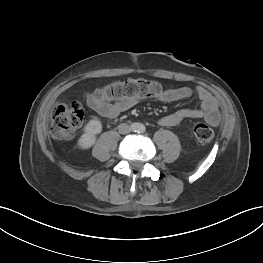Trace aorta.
Instances as JSON below:
<instances>
[{"mask_svg":"<svg viewBox=\"0 0 263 263\" xmlns=\"http://www.w3.org/2000/svg\"><path fill=\"white\" fill-rule=\"evenodd\" d=\"M144 129H145V126L143 124H138L136 127V130L140 132L144 131Z\"/></svg>","mask_w":263,"mask_h":263,"instance_id":"762f6f07","label":"aorta"}]
</instances>
